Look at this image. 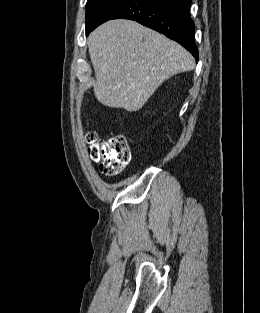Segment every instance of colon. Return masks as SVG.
<instances>
[{
    "mask_svg": "<svg viewBox=\"0 0 260 313\" xmlns=\"http://www.w3.org/2000/svg\"><path fill=\"white\" fill-rule=\"evenodd\" d=\"M89 155L92 160L100 162V172L106 176L119 174L129 163L131 148L125 134H115L99 142L97 134L86 133Z\"/></svg>",
    "mask_w": 260,
    "mask_h": 313,
    "instance_id": "obj_1",
    "label": "colon"
}]
</instances>
